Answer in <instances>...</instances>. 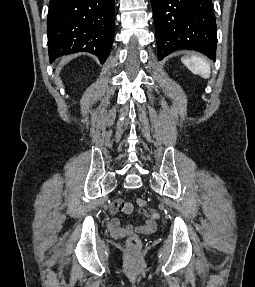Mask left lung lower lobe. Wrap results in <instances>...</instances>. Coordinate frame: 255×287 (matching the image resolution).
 <instances>
[{
    "label": "left lung lower lobe",
    "instance_id": "left-lung-lower-lobe-1",
    "mask_svg": "<svg viewBox=\"0 0 255 287\" xmlns=\"http://www.w3.org/2000/svg\"><path fill=\"white\" fill-rule=\"evenodd\" d=\"M151 5L160 60L189 49L215 61L217 28L211 0H151Z\"/></svg>",
    "mask_w": 255,
    "mask_h": 287
}]
</instances>
